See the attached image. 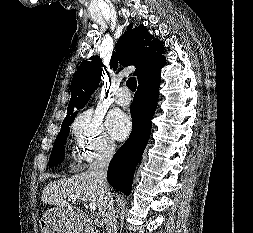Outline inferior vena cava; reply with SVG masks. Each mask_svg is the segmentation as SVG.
Here are the masks:
<instances>
[{
  "mask_svg": "<svg viewBox=\"0 0 253 233\" xmlns=\"http://www.w3.org/2000/svg\"><path fill=\"white\" fill-rule=\"evenodd\" d=\"M114 153V142L108 141L104 143L100 153L88 169V172L95 177L99 185V212L107 233H117L113 197L106 178L108 165Z\"/></svg>",
  "mask_w": 253,
  "mask_h": 233,
  "instance_id": "602c4592",
  "label": "inferior vena cava"
}]
</instances>
